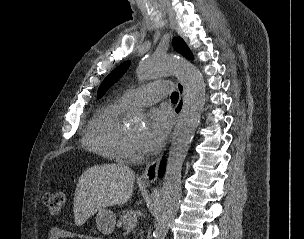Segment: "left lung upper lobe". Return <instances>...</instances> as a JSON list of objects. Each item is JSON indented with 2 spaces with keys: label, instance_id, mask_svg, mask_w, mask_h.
<instances>
[{
  "label": "left lung upper lobe",
  "instance_id": "left-lung-upper-lobe-1",
  "mask_svg": "<svg viewBox=\"0 0 304 239\" xmlns=\"http://www.w3.org/2000/svg\"><path fill=\"white\" fill-rule=\"evenodd\" d=\"M173 46L177 52L184 55L185 57L189 59H193V55L183 39L180 37L173 39ZM130 62L126 61L122 63L120 66H118L116 69H114L102 82L98 89L97 97L100 98L104 95V93L107 91V89L115 83L125 72V70L129 67Z\"/></svg>",
  "mask_w": 304,
  "mask_h": 239
}]
</instances>
